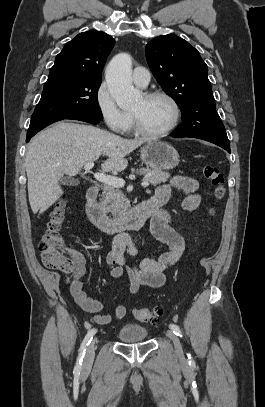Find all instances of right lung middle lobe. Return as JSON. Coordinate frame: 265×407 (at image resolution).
Here are the masks:
<instances>
[{"label": "right lung middle lobe", "instance_id": "obj_1", "mask_svg": "<svg viewBox=\"0 0 265 407\" xmlns=\"http://www.w3.org/2000/svg\"><path fill=\"white\" fill-rule=\"evenodd\" d=\"M101 80L68 74L48 77L41 99L31 117L27 135L63 119L89 116L102 120L97 94Z\"/></svg>", "mask_w": 265, "mask_h": 407}]
</instances>
